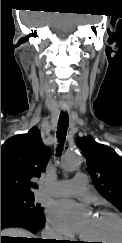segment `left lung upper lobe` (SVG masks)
<instances>
[{
	"label": "left lung upper lobe",
	"instance_id": "left-lung-upper-lobe-1",
	"mask_svg": "<svg viewBox=\"0 0 122 243\" xmlns=\"http://www.w3.org/2000/svg\"><path fill=\"white\" fill-rule=\"evenodd\" d=\"M77 144L86 157V170L99 193L122 212V158L91 136L78 139Z\"/></svg>",
	"mask_w": 122,
	"mask_h": 243
}]
</instances>
